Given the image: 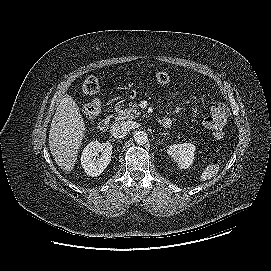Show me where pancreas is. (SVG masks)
<instances>
[{
    "label": "pancreas",
    "mask_w": 271,
    "mask_h": 271,
    "mask_svg": "<svg viewBox=\"0 0 271 271\" xmlns=\"http://www.w3.org/2000/svg\"><path fill=\"white\" fill-rule=\"evenodd\" d=\"M116 120H132L140 116V111L138 110L137 104L131 103L125 109H122L121 106L116 107Z\"/></svg>",
    "instance_id": "obj_1"
}]
</instances>
